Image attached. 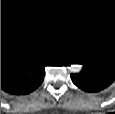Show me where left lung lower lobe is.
<instances>
[{"instance_id":"1","label":"left lung lower lobe","mask_w":115,"mask_h":114,"mask_svg":"<svg viewBox=\"0 0 115 114\" xmlns=\"http://www.w3.org/2000/svg\"><path fill=\"white\" fill-rule=\"evenodd\" d=\"M82 65L81 72L71 74L70 77L73 83L84 91H101L115 80V72L111 70L95 64L82 63Z\"/></svg>"}]
</instances>
